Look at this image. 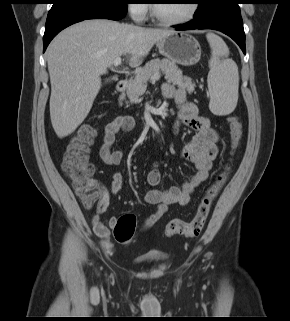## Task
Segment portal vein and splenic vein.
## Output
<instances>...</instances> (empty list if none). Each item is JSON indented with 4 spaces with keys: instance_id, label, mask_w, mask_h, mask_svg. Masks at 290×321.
Segmentation results:
<instances>
[{
    "instance_id": "18ae733b",
    "label": "portal vein and splenic vein",
    "mask_w": 290,
    "mask_h": 321,
    "mask_svg": "<svg viewBox=\"0 0 290 321\" xmlns=\"http://www.w3.org/2000/svg\"><path fill=\"white\" fill-rule=\"evenodd\" d=\"M120 64H121V58H120V57H117L116 59H114L113 65H114L115 67L119 66ZM159 78H160V74L157 73V74H155L154 77L152 78V81H156V80H158Z\"/></svg>"
}]
</instances>
